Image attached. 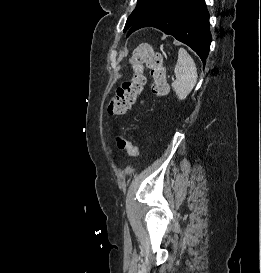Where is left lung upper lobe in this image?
I'll return each instance as SVG.
<instances>
[{"label": "left lung upper lobe", "mask_w": 261, "mask_h": 273, "mask_svg": "<svg viewBox=\"0 0 261 273\" xmlns=\"http://www.w3.org/2000/svg\"><path fill=\"white\" fill-rule=\"evenodd\" d=\"M168 0H138L135 10L128 17L124 31L131 28L138 20L144 17L147 13L152 11L159 5L167 2Z\"/></svg>", "instance_id": "left-lung-upper-lobe-1"}]
</instances>
